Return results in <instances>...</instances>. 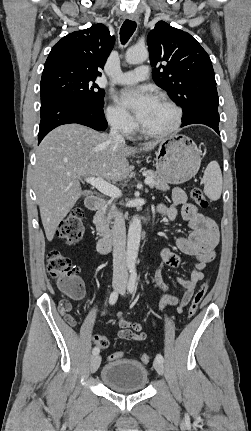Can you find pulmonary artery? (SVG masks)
<instances>
[{"label": "pulmonary artery", "instance_id": "e3ab8cb5", "mask_svg": "<svg viewBox=\"0 0 251 431\" xmlns=\"http://www.w3.org/2000/svg\"><path fill=\"white\" fill-rule=\"evenodd\" d=\"M148 67L139 66L133 71H127L118 74L114 80L120 84H134L138 81L144 80L148 77Z\"/></svg>", "mask_w": 251, "mask_h": 431}]
</instances>
